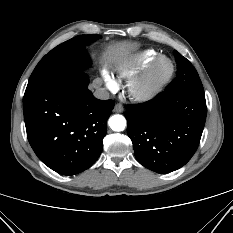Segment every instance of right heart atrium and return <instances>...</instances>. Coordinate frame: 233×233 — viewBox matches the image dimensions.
Masks as SVG:
<instances>
[{
    "instance_id": "1",
    "label": "right heart atrium",
    "mask_w": 233,
    "mask_h": 233,
    "mask_svg": "<svg viewBox=\"0 0 233 233\" xmlns=\"http://www.w3.org/2000/svg\"><path fill=\"white\" fill-rule=\"evenodd\" d=\"M101 74L106 88L111 92L117 91L119 88V83L114 76L107 69L102 70Z\"/></svg>"
}]
</instances>
